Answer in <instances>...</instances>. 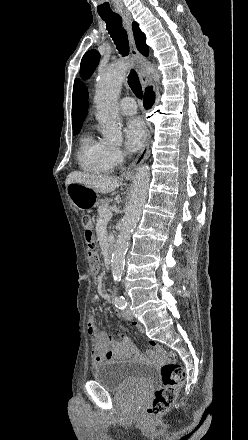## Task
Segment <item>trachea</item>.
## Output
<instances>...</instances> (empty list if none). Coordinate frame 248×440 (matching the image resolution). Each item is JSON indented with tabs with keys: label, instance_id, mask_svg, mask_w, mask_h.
I'll return each instance as SVG.
<instances>
[{
	"label": "trachea",
	"instance_id": "3493384b",
	"mask_svg": "<svg viewBox=\"0 0 248 440\" xmlns=\"http://www.w3.org/2000/svg\"><path fill=\"white\" fill-rule=\"evenodd\" d=\"M106 22L108 33L112 37L114 44L116 45L119 53L122 56L129 54V42L126 30L122 27V18L119 14L100 15ZM128 84L133 93L142 98V87L139 81V77L134 69H132L128 75Z\"/></svg>",
	"mask_w": 248,
	"mask_h": 440
}]
</instances>
